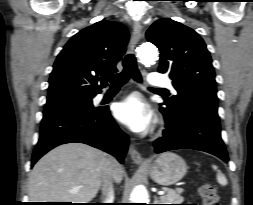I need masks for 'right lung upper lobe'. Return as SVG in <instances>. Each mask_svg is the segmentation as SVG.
I'll return each instance as SVG.
<instances>
[{
  "mask_svg": "<svg viewBox=\"0 0 253 205\" xmlns=\"http://www.w3.org/2000/svg\"><path fill=\"white\" fill-rule=\"evenodd\" d=\"M128 40L127 28L118 22L100 21L78 32L54 63L47 102L100 93L105 76L117 71Z\"/></svg>",
  "mask_w": 253,
  "mask_h": 205,
  "instance_id": "1",
  "label": "right lung upper lobe"
}]
</instances>
